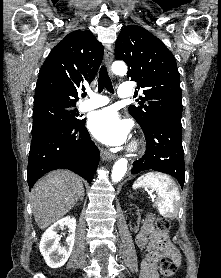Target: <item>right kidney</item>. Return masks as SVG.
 <instances>
[{"label": "right kidney", "instance_id": "obj_1", "mask_svg": "<svg viewBox=\"0 0 221 278\" xmlns=\"http://www.w3.org/2000/svg\"><path fill=\"white\" fill-rule=\"evenodd\" d=\"M65 225L68 226L72 234L67 237L64 244H61L57 232L63 229ZM75 230L76 219L66 217L54 223L43 234L39 249L50 268H59L67 262L74 246Z\"/></svg>", "mask_w": 221, "mask_h": 278}]
</instances>
